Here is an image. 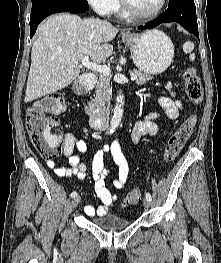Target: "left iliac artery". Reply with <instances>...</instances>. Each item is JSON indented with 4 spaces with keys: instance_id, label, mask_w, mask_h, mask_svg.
Here are the masks:
<instances>
[{
    "instance_id": "left-iliac-artery-1",
    "label": "left iliac artery",
    "mask_w": 221,
    "mask_h": 263,
    "mask_svg": "<svg viewBox=\"0 0 221 263\" xmlns=\"http://www.w3.org/2000/svg\"><path fill=\"white\" fill-rule=\"evenodd\" d=\"M146 199H148L149 201L152 200V197H151L150 193H146Z\"/></svg>"
}]
</instances>
